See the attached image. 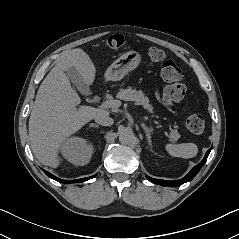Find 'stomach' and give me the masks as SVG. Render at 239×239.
<instances>
[{
	"mask_svg": "<svg viewBox=\"0 0 239 239\" xmlns=\"http://www.w3.org/2000/svg\"><path fill=\"white\" fill-rule=\"evenodd\" d=\"M142 56L137 51H128L115 60L105 72L106 81L121 80L128 72L135 69L141 62Z\"/></svg>",
	"mask_w": 239,
	"mask_h": 239,
	"instance_id": "1",
	"label": "stomach"
}]
</instances>
